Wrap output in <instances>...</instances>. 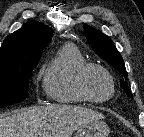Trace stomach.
Segmentation results:
<instances>
[{
	"instance_id": "stomach-1",
	"label": "stomach",
	"mask_w": 144,
	"mask_h": 137,
	"mask_svg": "<svg viewBox=\"0 0 144 137\" xmlns=\"http://www.w3.org/2000/svg\"><path fill=\"white\" fill-rule=\"evenodd\" d=\"M110 130L106 123L97 121L80 127L74 137H108Z\"/></svg>"
}]
</instances>
